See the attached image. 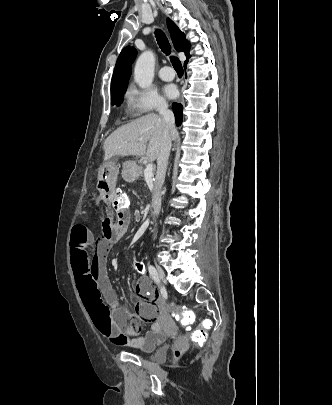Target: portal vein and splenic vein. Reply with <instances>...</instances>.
Listing matches in <instances>:
<instances>
[{
	"mask_svg": "<svg viewBox=\"0 0 332 405\" xmlns=\"http://www.w3.org/2000/svg\"><path fill=\"white\" fill-rule=\"evenodd\" d=\"M144 175H145V178L147 180H150L152 178V176H153V165L152 164L149 163L146 166L145 171H144Z\"/></svg>",
	"mask_w": 332,
	"mask_h": 405,
	"instance_id": "obj_1",
	"label": "portal vein and splenic vein"
}]
</instances>
